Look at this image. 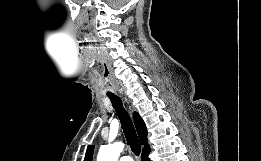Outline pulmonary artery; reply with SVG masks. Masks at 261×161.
<instances>
[{"instance_id":"pulmonary-artery-1","label":"pulmonary artery","mask_w":261,"mask_h":161,"mask_svg":"<svg viewBox=\"0 0 261 161\" xmlns=\"http://www.w3.org/2000/svg\"><path fill=\"white\" fill-rule=\"evenodd\" d=\"M119 161H133L129 156H122Z\"/></svg>"}]
</instances>
